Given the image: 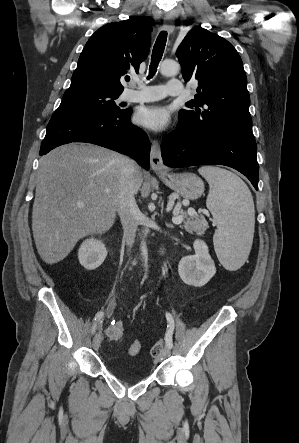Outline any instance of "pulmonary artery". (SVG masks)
I'll use <instances>...</instances> for the list:
<instances>
[{"label":"pulmonary artery","instance_id":"obj_1","mask_svg":"<svg viewBox=\"0 0 299 443\" xmlns=\"http://www.w3.org/2000/svg\"><path fill=\"white\" fill-rule=\"evenodd\" d=\"M133 84L139 87V90H128L123 98L130 102H152L164 98L167 95L177 96L183 93V85L178 79H170L166 85H146L140 80L134 79Z\"/></svg>","mask_w":299,"mask_h":443}]
</instances>
